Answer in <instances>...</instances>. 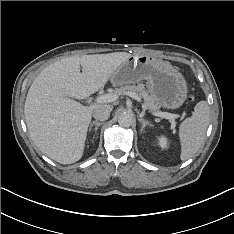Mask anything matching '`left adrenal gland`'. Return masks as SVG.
<instances>
[{"instance_id":"1","label":"left adrenal gland","mask_w":234,"mask_h":234,"mask_svg":"<svg viewBox=\"0 0 234 234\" xmlns=\"http://www.w3.org/2000/svg\"><path fill=\"white\" fill-rule=\"evenodd\" d=\"M138 121L142 123V127H141V132L144 131V128L148 125V126H153L149 121L143 119V118H138Z\"/></svg>"}]
</instances>
